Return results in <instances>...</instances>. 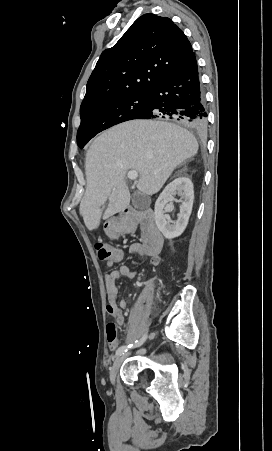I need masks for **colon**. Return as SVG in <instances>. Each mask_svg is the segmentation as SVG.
<instances>
[{
  "label": "colon",
  "instance_id": "obj_1",
  "mask_svg": "<svg viewBox=\"0 0 272 451\" xmlns=\"http://www.w3.org/2000/svg\"><path fill=\"white\" fill-rule=\"evenodd\" d=\"M95 249L98 253L96 256L98 262H105L106 259L109 258V256H121L122 254L121 247H108L103 243H96ZM105 331L109 345L115 346L118 332L117 324L113 321L107 322Z\"/></svg>",
  "mask_w": 272,
  "mask_h": 451
}]
</instances>
